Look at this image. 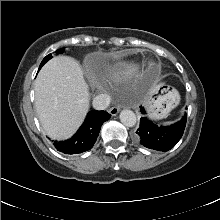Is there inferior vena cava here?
I'll return each mask as SVG.
<instances>
[{"label":"inferior vena cava","mask_w":220,"mask_h":220,"mask_svg":"<svg viewBox=\"0 0 220 220\" xmlns=\"http://www.w3.org/2000/svg\"><path fill=\"white\" fill-rule=\"evenodd\" d=\"M111 102V98L107 94H99L96 97H94L92 101V105L97 110H103L106 109Z\"/></svg>","instance_id":"inferior-vena-cava-1"}]
</instances>
